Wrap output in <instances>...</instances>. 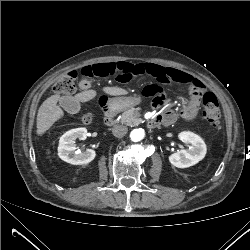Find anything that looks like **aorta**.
Segmentation results:
<instances>
[{
    "mask_svg": "<svg viewBox=\"0 0 250 250\" xmlns=\"http://www.w3.org/2000/svg\"><path fill=\"white\" fill-rule=\"evenodd\" d=\"M144 130L143 129H134L130 133V138L134 142L141 141L144 138Z\"/></svg>",
    "mask_w": 250,
    "mask_h": 250,
    "instance_id": "aorta-1",
    "label": "aorta"
}]
</instances>
